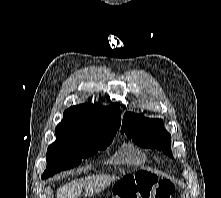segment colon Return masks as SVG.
Instances as JSON below:
<instances>
[{"instance_id": "obj_1", "label": "colon", "mask_w": 221, "mask_h": 198, "mask_svg": "<svg viewBox=\"0 0 221 198\" xmlns=\"http://www.w3.org/2000/svg\"><path fill=\"white\" fill-rule=\"evenodd\" d=\"M174 193L171 182L159 180L148 172H139L120 179L108 198H172Z\"/></svg>"}]
</instances>
